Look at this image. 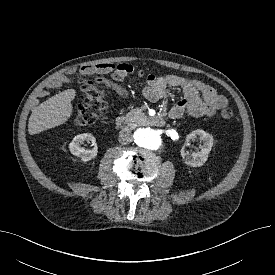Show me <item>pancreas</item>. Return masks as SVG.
Here are the masks:
<instances>
[{
	"label": "pancreas",
	"instance_id": "obj_1",
	"mask_svg": "<svg viewBox=\"0 0 275 275\" xmlns=\"http://www.w3.org/2000/svg\"><path fill=\"white\" fill-rule=\"evenodd\" d=\"M127 118H129L131 121L136 122L138 121L140 118L144 117V113L142 112V110L136 108L131 110L130 112H128L126 114Z\"/></svg>",
	"mask_w": 275,
	"mask_h": 275
}]
</instances>
